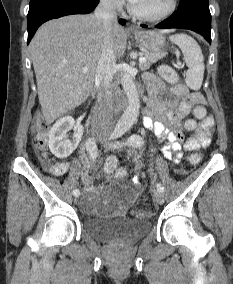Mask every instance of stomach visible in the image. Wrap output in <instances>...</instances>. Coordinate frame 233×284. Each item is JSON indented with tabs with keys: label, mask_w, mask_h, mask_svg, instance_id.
Here are the masks:
<instances>
[{
	"label": "stomach",
	"mask_w": 233,
	"mask_h": 284,
	"mask_svg": "<svg viewBox=\"0 0 233 284\" xmlns=\"http://www.w3.org/2000/svg\"><path fill=\"white\" fill-rule=\"evenodd\" d=\"M135 40L149 52H160L165 49V37L152 30H140L133 33Z\"/></svg>",
	"instance_id": "1"
}]
</instances>
